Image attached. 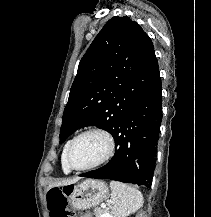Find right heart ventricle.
<instances>
[{
	"label": "right heart ventricle",
	"mask_w": 211,
	"mask_h": 217,
	"mask_svg": "<svg viewBox=\"0 0 211 217\" xmlns=\"http://www.w3.org/2000/svg\"><path fill=\"white\" fill-rule=\"evenodd\" d=\"M72 139H69L64 147H63V150H62V154H61V168H62V171L65 173V174H68L71 172V169L69 168L68 164H67V161H66V153H67V149H68V146L70 144Z\"/></svg>",
	"instance_id": "obj_1"
}]
</instances>
